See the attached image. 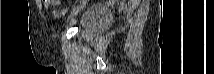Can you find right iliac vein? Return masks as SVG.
Returning <instances> with one entry per match:
<instances>
[{
    "instance_id": "right-iliac-vein-1",
    "label": "right iliac vein",
    "mask_w": 214,
    "mask_h": 74,
    "mask_svg": "<svg viewBox=\"0 0 214 74\" xmlns=\"http://www.w3.org/2000/svg\"><path fill=\"white\" fill-rule=\"evenodd\" d=\"M84 6H85V4L83 3V4H81L80 6H78L77 8H75L74 10H73V15H77L78 14V12L81 10V9H83L84 8Z\"/></svg>"
}]
</instances>
